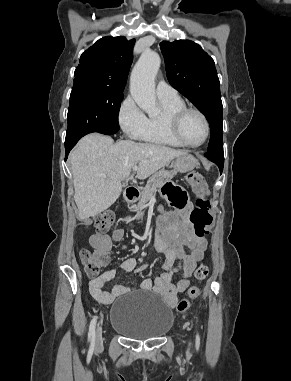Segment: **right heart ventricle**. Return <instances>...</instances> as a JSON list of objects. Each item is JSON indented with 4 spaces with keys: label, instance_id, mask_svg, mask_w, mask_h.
I'll list each match as a JSON object with an SVG mask.
<instances>
[{
    "label": "right heart ventricle",
    "instance_id": "e07e8e85",
    "mask_svg": "<svg viewBox=\"0 0 291 381\" xmlns=\"http://www.w3.org/2000/svg\"><path fill=\"white\" fill-rule=\"evenodd\" d=\"M159 101L162 112L147 117L146 127L140 139L154 145L183 147L169 132L167 117L170 113L185 107V102L179 96L173 99L159 98Z\"/></svg>",
    "mask_w": 291,
    "mask_h": 381
}]
</instances>
